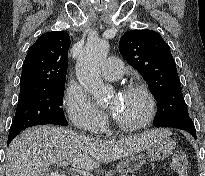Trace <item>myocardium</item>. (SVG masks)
I'll return each mask as SVG.
<instances>
[{"label": "myocardium", "instance_id": "1", "mask_svg": "<svg viewBox=\"0 0 205 176\" xmlns=\"http://www.w3.org/2000/svg\"><path fill=\"white\" fill-rule=\"evenodd\" d=\"M127 93H140L142 94L148 103V113L146 117L139 123L134 125H128L121 121H119L114 115H113V122L116 125V127L120 130L126 131V132H134L141 130L148 126L152 120L154 119V116L156 114V100L152 92L144 85L142 84H133L127 87L126 89Z\"/></svg>", "mask_w": 205, "mask_h": 176}]
</instances>
